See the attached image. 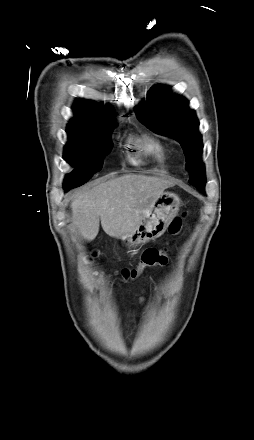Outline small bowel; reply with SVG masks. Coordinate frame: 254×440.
<instances>
[{
  "mask_svg": "<svg viewBox=\"0 0 254 440\" xmlns=\"http://www.w3.org/2000/svg\"><path fill=\"white\" fill-rule=\"evenodd\" d=\"M143 301H144V297H141V298H140V302H143Z\"/></svg>",
  "mask_w": 254,
  "mask_h": 440,
  "instance_id": "c3829d8e",
  "label": "small bowel"
}]
</instances>
